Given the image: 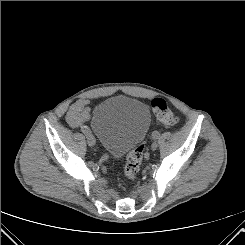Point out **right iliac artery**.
Here are the masks:
<instances>
[{
  "instance_id": "obj_1",
  "label": "right iliac artery",
  "mask_w": 245,
  "mask_h": 245,
  "mask_svg": "<svg viewBox=\"0 0 245 245\" xmlns=\"http://www.w3.org/2000/svg\"><path fill=\"white\" fill-rule=\"evenodd\" d=\"M82 132L87 136L89 134H91L90 130L87 127H82Z\"/></svg>"
}]
</instances>
